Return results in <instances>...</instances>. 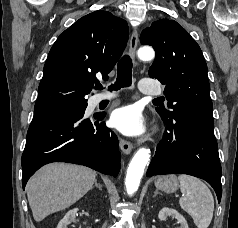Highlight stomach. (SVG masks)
<instances>
[{
    "instance_id": "obj_1",
    "label": "stomach",
    "mask_w": 238,
    "mask_h": 228,
    "mask_svg": "<svg viewBox=\"0 0 238 228\" xmlns=\"http://www.w3.org/2000/svg\"><path fill=\"white\" fill-rule=\"evenodd\" d=\"M155 185L158 189L166 193H173L179 187L178 180L175 175L157 177L155 180Z\"/></svg>"
}]
</instances>
